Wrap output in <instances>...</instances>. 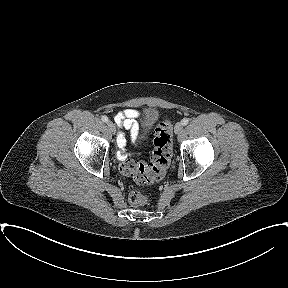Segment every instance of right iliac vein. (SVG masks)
Instances as JSON below:
<instances>
[{"label": "right iliac vein", "instance_id": "right-iliac-vein-1", "mask_svg": "<svg viewBox=\"0 0 288 288\" xmlns=\"http://www.w3.org/2000/svg\"><path fill=\"white\" fill-rule=\"evenodd\" d=\"M107 125H108L109 130H110L113 134H115V132H116V127H115L114 123L111 122V121H108Z\"/></svg>", "mask_w": 288, "mask_h": 288}]
</instances>
